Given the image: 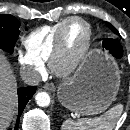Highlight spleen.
<instances>
[{
  "mask_svg": "<svg viewBox=\"0 0 130 130\" xmlns=\"http://www.w3.org/2000/svg\"><path fill=\"white\" fill-rule=\"evenodd\" d=\"M123 105L118 104L109 109L104 115L97 118H82L78 121L66 119L62 130H113L114 125L121 116Z\"/></svg>",
  "mask_w": 130,
  "mask_h": 130,
  "instance_id": "1",
  "label": "spleen"
}]
</instances>
